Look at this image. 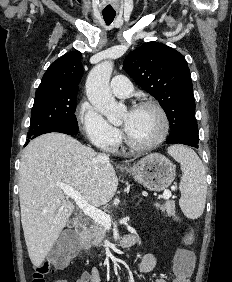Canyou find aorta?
<instances>
[{"instance_id":"1","label":"aorta","mask_w":232,"mask_h":282,"mask_svg":"<svg viewBox=\"0 0 232 282\" xmlns=\"http://www.w3.org/2000/svg\"><path fill=\"white\" fill-rule=\"evenodd\" d=\"M113 71V62L103 61L90 71L86 80V93L91 104L112 124L121 121L125 111L123 104H118L112 95L109 81Z\"/></svg>"}]
</instances>
